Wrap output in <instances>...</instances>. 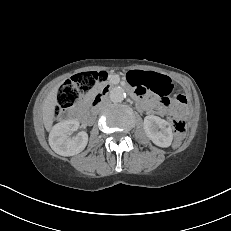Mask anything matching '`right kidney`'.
Segmentation results:
<instances>
[{
  "instance_id": "obj_1",
  "label": "right kidney",
  "mask_w": 231,
  "mask_h": 231,
  "mask_svg": "<svg viewBox=\"0 0 231 231\" xmlns=\"http://www.w3.org/2000/svg\"><path fill=\"white\" fill-rule=\"evenodd\" d=\"M79 122L76 120L62 121L56 124L49 134V145L59 155L73 156L84 150L88 143V134L79 132L70 138L68 134L76 131Z\"/></svg>"
}]
</instances>
